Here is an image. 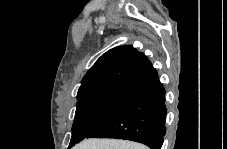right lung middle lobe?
<instances>
[{"mask_svg": "<svg viewBox=\"0 0 227 149\" xmlns=\"http://www.w3.org/2000/svg\"><path fill=\"white\" fill-rule=\"evenodd\" d=\"M135 90L124 85H108L81 97L77 103L69 148L113 117Z\"/></svg>", "mask_w": 227, "mask_h": 149, "instance_id": "obj_1", "label": "right lung middle lobe"}]
</instances>
